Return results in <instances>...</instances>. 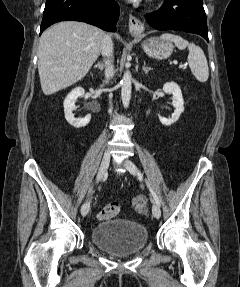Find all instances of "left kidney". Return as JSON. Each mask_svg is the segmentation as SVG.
Segmentation results:
<instances>
[{"instance_id": "1", "label": "left kidney", "mask_w": 240, "mask_h": 287, "mask_svg": "<svg viewBox=\"0 0 240 287\" xmlns=\"http://www.w3.org/2000/svg\"><path fill=\"white\" fill-rule=\"evenodd\" d=\"M163 91L165 93L172 94V104L175 107V111L171 118H165L159 115V120L163 125L170 126L179 119L181 113L184 111V100L180 87L174 82L165 83L163 86Z\"/></svg>"}]
</instances>
